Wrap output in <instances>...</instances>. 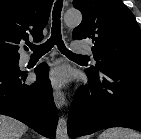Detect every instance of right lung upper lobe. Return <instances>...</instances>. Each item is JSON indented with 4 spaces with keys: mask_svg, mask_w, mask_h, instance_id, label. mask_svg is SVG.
<instances>
[{
    "mask_svg": "<svg viewBox=\"0 0 141 139\" xmlns=\"http://www.w3.org/2000/svg\"><path fill=\"white\" fill-rule=\"evenodd\" d=\"M53 0H0V56L19 58L21 41L43 39Z\"/></svg>",
    "mask_w": 141,
    "mask_h": 139,
    "instance_id": "cb5924a9",
    "label": "right lung upper lobe"
}]
</instances>
